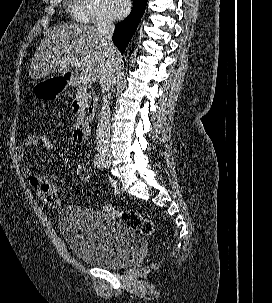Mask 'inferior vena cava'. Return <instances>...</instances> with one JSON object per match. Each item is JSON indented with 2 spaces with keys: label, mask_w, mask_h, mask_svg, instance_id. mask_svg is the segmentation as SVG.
<instances>
[{
  "label": "inferior vena cava",
  "mask_w": 272,
  "mask_h": 303,
  "mask_svg": "<svg viewBox=\"0 0 272 303\" xmlns=\"http://www.w3.org/2000/svg\"><path fill=\"white\" fill-rule=\"evenodd\" d=\"M97 31L102 38L105 48V63L103 65L102 74L100 76V85L102 93L108 92L114 82V55L112 51V36L115 25L112 16L103 14L97 21ZM103 106L99 114L97 125L96 141L97 150L101 159H111L110 150V108L107 96H103Z\"/></svg>",
  "instance_id": "inferior-vena-cava-1"
}]
</instances>
